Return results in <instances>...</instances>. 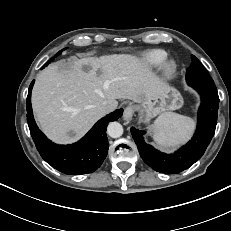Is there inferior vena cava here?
Wrapping results in <instances>:
<instances>
[{
    "instance_id": "obj_1",
    "label": "inferior vena cava",
    "mask_w": 231,
    "mask_h": 231,
    "mask_svg": "<svg viewBox=\"0 0 231 231\" xmlns=\"http://www.w3.org/2000/svg\"><path fill=\"white\" fill-rule=\"evenodd\" d=\"M100 110L103 112H109L111 110V106L108 104L107 101H104L100 105Z\"/></svg>"
}]
</instances>
